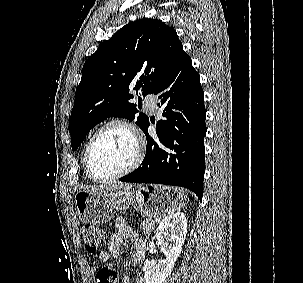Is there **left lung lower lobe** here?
Here are the masks:
<instances>
[{
  "instance_id": "obj_1",
  "label": "left lung lower lobe",
  "mask_w": 303,
  "mask_h": 283,
  "mask_svg": "<svg viewBox=\"0 0 303 283\" xmlns=\"http://www.w3.org/2000/svg\"><path fill=\"white\" fill-rule=\"evenodd\" d=\"M152 94L158 95V106L163 110L157 137H149L148 120L142 129L147 138L145 158L137 170L119 180L181 186L201 200L206 111L199 74L186 52L180 54Z\"/></svg>"
}]
</instances>
